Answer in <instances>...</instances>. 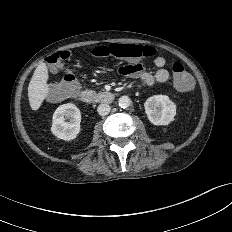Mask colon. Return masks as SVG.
<instances>
[{
	"mask_svg": "<svg viewBox=\"0 0 232 232\" xmlns=\"http://www.w3.org/2000/svg\"><path fill=\"white\" fill-rule=\"evenodd\" d=\"M91 53L94 57L98 58L115 57L123 59L131 63L125 66L137 68L141 65L139 63L141 60L152 57L155 54V49L147 45L112 43L97 46ZM69 57L70 53L68 51H60L49 55L46 58V62L52 69H56ZM172 72L173 83L178 91L187 92L192 88V77L181 63H174ZM78 88L79 82L77 78L74 73L69 71L59 83L50 88L49 96L53 100H62L76 93Z\"/></svg>",
	"mask_w": 232,
	"mask_h": 232,
	"instance_id": "1",
	"label": "colon"
}]
</instances>
